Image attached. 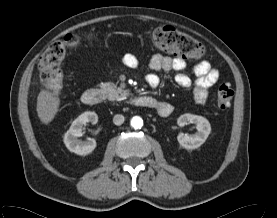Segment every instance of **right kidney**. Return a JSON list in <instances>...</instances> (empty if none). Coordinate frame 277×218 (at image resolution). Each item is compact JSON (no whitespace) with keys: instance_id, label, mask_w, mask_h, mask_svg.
Listing matches in <instances>:
<instances>
[{"instance_id":"ca27d5eb","label":"right kidney","mask_w":277,"mask_h":218,"mask_svg":"<svg viewBox=\"0 0 277 218\" xmlns=\"http://www.w3.org/2000/svg\"><path fill=\"white\" fill-rule=\"evenodd\" d=\"M96 124L98 116L95 112H84L79 115L71 124L69 130L64 135V144L71 152L77 155L85 156L90 154L96 148V141L92 138L81 141L78 138L83 135L82 129L87 123Z\"/></svg>"}]
</instances>
